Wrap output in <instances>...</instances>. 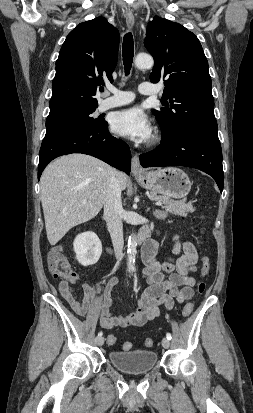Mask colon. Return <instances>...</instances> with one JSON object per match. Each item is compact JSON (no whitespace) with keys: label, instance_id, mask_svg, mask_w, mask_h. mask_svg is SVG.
Masks as SVG:
<instances>
[{"label":"colon","instance_id":"1","mask_svg":"<svg viewBox=\"0 0 253 413\" xmlns=\"http://www.w3.org/2000/svg\"><path fill=\"white\" fill-rule=\"evenodd\" d=\"M48 266H49L51 273L53 274L55 278L68 280L75 275L61 247H56L49 252ZM209 270H210V260L207 256H204L202 258V265H201L202 278H205L207 276V274L209 273ZM205 288H206V284L203 280H201L197 285V292L199 294H202L205 291ZM193 309H194V303L192 302L187 303L184 306L183 311H182L183 316L189 317L192 314ZM107 341L109 344H115L117 341V338L114 335H109L107 337ZM144 344L146 347H152L153 340L151 338H146L144 341ZM123 349L124 350L131 349V343L125 342L123 344Z\"/></svg>","mask_w":253,"mask_h":413}]
</instances>
